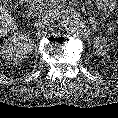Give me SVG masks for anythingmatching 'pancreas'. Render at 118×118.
Instances as JSON below:
<instances>
[{
    "mask_svg": "<svg viewBox=\"0 0 118 118\" xmlns=\"http://www.w3.org/2000/svg\"><path fill=\"white\" fill-rule=\"evenodd\" d=\"M50 2L51 0H38L37 6L42 9H50L52 7ZM95 25L101 33H106L107 35L114 33V22L110 18L104 19L99 17L96 19Z\"/></svg>",
    "mask_w": 118,
    "mask_h": 118,
    "instance_id": "pancreas-1",
    "label": "pancreas"
}]
</instances>
